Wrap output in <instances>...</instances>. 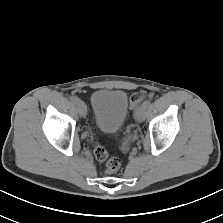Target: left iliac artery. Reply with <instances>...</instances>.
Here are the masks:
<instances>
[{"label":"left iliac artery","instance_id":"1","mask_svg":"<svg viewBox=\"0 0 223 223\" xmlns=\"http://www.w3.org/2000/svg\"><path fill=\"white\" fill-rule=\"evenodd\" d=\"M142 105L147 108L150 105V101L146 100Z\"/></svg>","mask_w":223,"mask_h":223}]
</instances>
